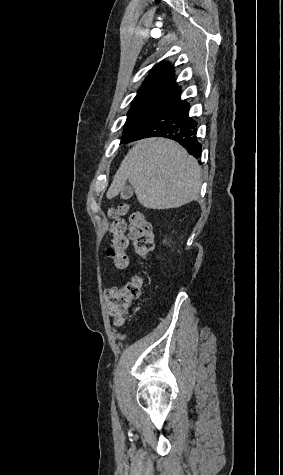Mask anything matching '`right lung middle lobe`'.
Wrapping results in <instances>:
<instances>
[{"mask_svg": "<svg viewBox=\"0 0 283 475\" xmlns=\"http://www.w3.org/2000/svg\"><path fill=\"white\" fill-rule=\"evenodd\" d=\"M175 89H162L136 96L132 102L125 124L123 142L125 138L149 115L165 103L173 94Z\"/></svg>", "mask_w": 283, "mask_h": 475, "instance_id": "right-lung-middle-lobe-1", "label": "right lung middle lobe"}]
</instances>
